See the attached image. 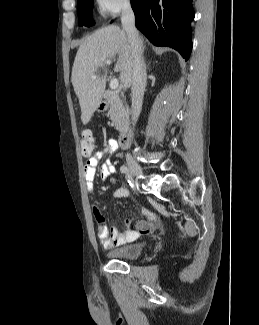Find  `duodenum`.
Here are the masks:
<instances>
[{
    "instance_id": "duodenum-1",
    "label": "duodenum",
    "mask_w": 259,
    "mask_h": 325,
    "mask_svg": "<svg viewBox=\"0 0 259 325\" xmlns=\"http://www.w3.org/2000/svg\"><path fill=\"white\" fill-rule=\"evenodd\" d=\"M101 110H105L107 108V102L103 101L100 105ZM132 139V132L131 130H125L123 131V133L121 134L118 144L121 148H124L126 146L129 145L130 141Z\"/></svg>"
}]
</instances>
